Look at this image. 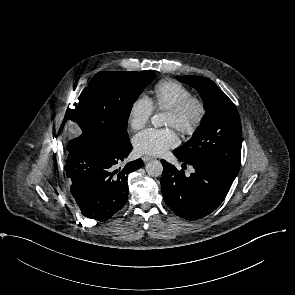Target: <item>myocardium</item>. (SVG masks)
Segmentation results:
<instances>
[{
	"label": "myocardium",
	"instance_id": "myocardium-1",
	"mask_svg": "<svg viewBox=\"0 0 295 295\" xmlns=\"http://www.w3.org/2000/svg\"><path fill=\"white\" fill-rule=\"evenodd\" d=\"M168 113L178 120L175 128L179 132L191 135L202 125L207 114V105L202 97L192 95L181 104L169 109Z\"/></svg>",
	"mask_w": 295,
	"mask_h": 295
}]
</instances>
